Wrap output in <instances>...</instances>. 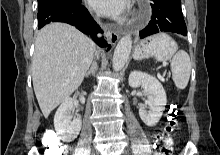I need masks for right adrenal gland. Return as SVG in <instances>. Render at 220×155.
<instances>
[{"label":"right adrenal gland","instance_id":"2a0ac1e0","mask_svg":"<svg viewBox=\"0 0 220 155\" xmlns=\"http://www.w3.org/2000/svg\"><path fill=\"white\" fill-rule=\"evenodd\" d=\"M97 68H98L97 62L94 61V62L92 63V65H91L90 69H89V70L87 71V73L85 74V77L87 78V77L90 76V75H94L95 72L97 71Z\"/></svg>","mask_w":220,"mask_h":155}]
</instances>
